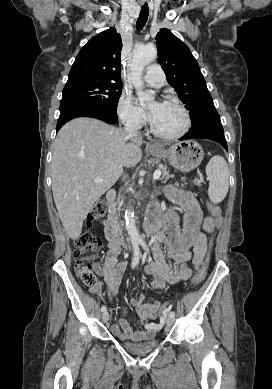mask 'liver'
I'll return each mask as SVG.
<instances>
[{
  "label": "liver",
  "mask_w": 272,
  "mask_h": 389,
  "mask_svg": "<svg viewBox=\"0 0 272 389\" xmlns=\"http://www.w3.org/2000/svg\"><path fill=\"white\" fill-rule=\"evenodd\" d=\"M143 141L100 120L81 117L65 124L54 141L51 178L62 225L73 240L93 204L142 158ZM103 179L95 182V179Z\"/></svg>",
  "instance_id": "liver-1"
}]
</instances>
